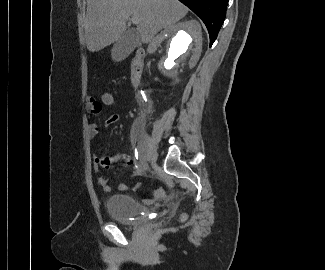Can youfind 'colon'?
Masks as SVG:
<instances>
[{"label":"colon","mask_w":325,"mask_h":270,"mask_svg":"<svg viewBox=\"0 0 325 270\" xmlns=\"http://www.w3.org/2000/svg\"><path fill=\"white\" fill-rule=\"evenodd\" d=\"M101 102L104 106H112L115 103V95L110 91L103 92L101 95ZM164 195L165 193L162 189H157L154 192L155 198L163 197ZM182 219H184V217Z\"/></svg>","instance_id":"colon-1"}]
</instances>
